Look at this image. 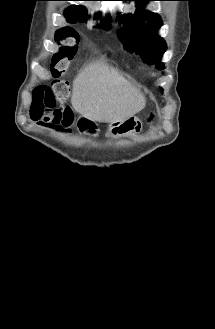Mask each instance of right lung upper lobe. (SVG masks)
<instances>
[{
  "label": "right lung upper lobe",
  "instance_id": "obj_1",
  "mask_svg": "<svg viewBox=\"0 0 215 329\" xmlns=\"http://www.w3.org/2000/svg\"><path fill=\"white\" fill-rule=\"evenodd\" d=\"M65 16L69 21L74 20L75 18H81L83 21L86 20L87 13L84 7L82 6H72L66 10ZM110 21V19H107ZM105 27H109V24H104Z\"/></svg>",
  "mask_w": 215,
  "mask_h": 329
}]
</instances>
